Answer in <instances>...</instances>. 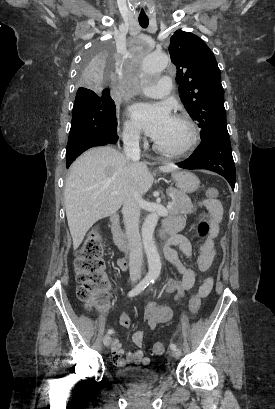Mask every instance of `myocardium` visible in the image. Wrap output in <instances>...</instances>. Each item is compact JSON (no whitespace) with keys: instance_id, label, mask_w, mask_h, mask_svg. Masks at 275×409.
Listing matches in <instances>:
<instances>
[{"instance_id":"myocardium-1","label":"myocardium","mask_w":275,"mask_h":409,"mask_svg":"<svg viewBox=\"0 0 275 409\" xmlns=\"http://www.w3.org/2000/svg\"><path fill=\"white\" fill-rule=\"evenodd\" d=\"M172 119L180 123H183L186 126L188 130V136H187L186 141L179 147L168 148V147L159 145L152 138V146L156 152L163 154V155H171V156L182 155L188 152L195 145L197 141V129L192 119L186 115L175 114L172 116Z\"/></svg>"}]
</instances>
